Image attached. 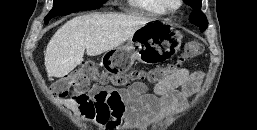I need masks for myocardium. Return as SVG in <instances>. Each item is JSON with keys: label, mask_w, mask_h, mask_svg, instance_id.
<instances>
[{"label": "myocardium", "mask_w": 257, "mask_h": 130, "mask_svg": "<svg viewBox=\"0 0 257 130\" xmlns=\"http://www.w3.org/2000/svg\"><path fill=\"white\" fill-rule=\"evenodd\" d=\"M162 3L168 11L176 12L182 7L183 0H162Z\"/></svg>", "instance_id": "obj_1"}]
</instances>
